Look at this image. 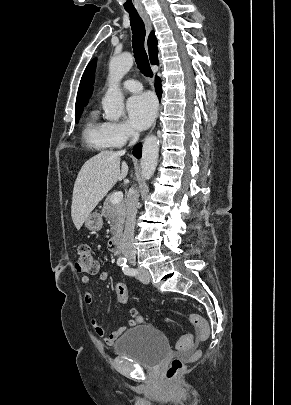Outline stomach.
Returning a JSON list of instances; mask_svg holds the SVG:
<instances>
[{"instance_id": "0dacf381", "label": "stomach", "mask_w": 291, "mask_h": 405, "mask_svg": "<svg viewBox=\"0 0 291 405\" xmlns=\"http://www.w3.org/2000/svg\"><path fill=\"white\" fill-rule=\"evenodd\" d=\"M84 225L90 231H99L103 226L102 215L98 212H93L88 215Z\"/></svg>"}]
</instances>
